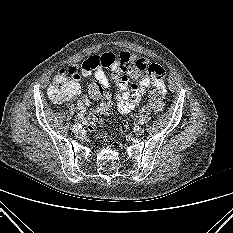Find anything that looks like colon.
Listing matches in <instances>:
<instances>
[{"instance_id":"1","label":"colon","mask_w":233,"mask_h":233,"mask_svg":"<svg viewBox=\"0 0 233 233\" xmlns=\"http://www.w3.org/2000/svg\"><path fill=\"white\" fill-rule=\"evenodd\" d=\"M71 81L72 79L67 73L59 71L48 89L50 98L55 102L66 101L73 94ZM88 93L92 99L100 101L97 108L88 118V127L92 129L99 121L101 116L111 110L113 103L111 96L97 81L91 82L88 85ZM149 104L155 111H161L164 108L165 96L163 89L158 86L151 88L149 92Z\"/></svg>"}]
</instances>
